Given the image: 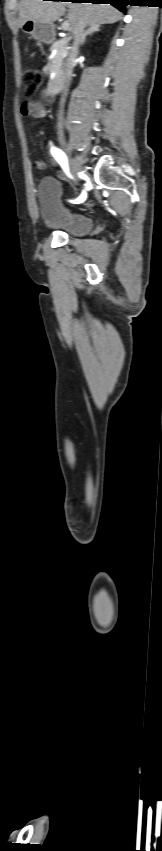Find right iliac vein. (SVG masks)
I'll return each mask as SVG.
<instances>
[{
    "mask_svg": "<svg viewBox=\"0 0 162 851\" xmlns=\"http://www.w3.org/2000/svg\"><path fill=\"white\" fill-rule=\"evenodd\" d=\"M63 145H64V143H63ZM70 165H71L73 177L76 178V180H79V174H78L79 169H78L77 163L75 162V160L73 158L70 159Z\"/></svg>",
    "mask_w": 162,
    "mask_h": 851,
    "instance_id": "obj_1",
    "label": "right iliac vein"
}]
</instances>
